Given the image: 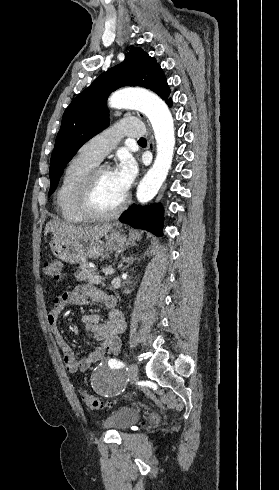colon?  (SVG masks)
I'll use <instances>...</instances> for the list:
<instances>
[{
	"mask_svg": "<svg viewBox=\"0 0 279 490\" xmlns=\"http://www.w3.org/2000/svg\"><path fill=\"white\" fill-rule=\"evenodd\" d=\"M61 267V262L58 259H54L44 265L43 271L46 276L59 280L61 278ZM81 398L90 409L102 410L105 408V403L89 391H82Z\"/></svg>",
	"mask_w": 279,
	"mask_h": 490,
	"instance_id": "obj_1",
	"label": "colon"
}]
</instances>
